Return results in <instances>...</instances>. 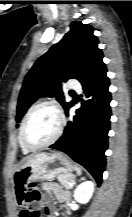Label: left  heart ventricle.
<instances>
[{"label":"left heart ventricle","mask_w":132,"mask_h":217,"mask_svg":"<svg viewBox=\"0 0 132 217\" xmlns=\"http://www.w3.org/2000/svg\"><path fill=\"white\" fill-rule=\"evenodd\" d=\"M59 118L56 111L44 106L39 108L29 120L25 138L31 145H40L49 141L56 133Z\"/></svg>","instance_id":"obj_1"}]
</instances>
